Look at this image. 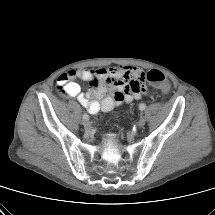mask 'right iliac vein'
I'll return each instance as SVG.
<instances>
[{
  "instance_id": "right-iliac-vein-1",
  "label": "right iliac vein",
  "mask_w": 215,
  "mask_h": 215,
  "mask_svg": "<svg viewBox=\"0 0 215 215\" xmlns=\"http://www.w3.org/2000/svg\"><path fill=\"white\" fill-rule=\"evenodd\" d=\"M83 126L86 130H90L92 128L91 123L89 120H84L83 121Z\"/></svg>"
}]
</instances>
